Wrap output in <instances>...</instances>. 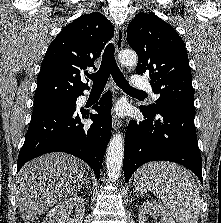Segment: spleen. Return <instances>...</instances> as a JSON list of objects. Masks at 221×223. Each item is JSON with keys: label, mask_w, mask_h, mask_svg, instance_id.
Here are the masks:
<instances>
[{"label": "spleen", "mask_w": 221, "mask_h": 223, "mask_svg": "<svg viewBox=\"0 0 221 223\" xmlns=\"http://www.w3.org/2000/svg\"><path fill=\"white\" fill-rule=\"evenodd\" d=\"M134 187L140 193L152 189L177 223H198L199 188L187 169L170 162H150L136 172Z\"/></svg>", "instance_id": "1"}]
</instances>
